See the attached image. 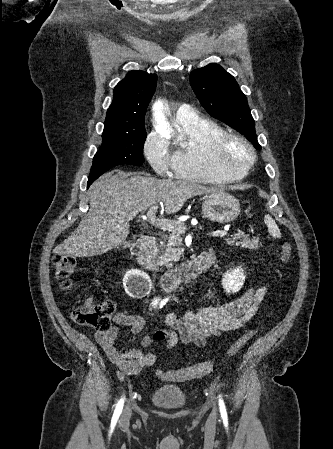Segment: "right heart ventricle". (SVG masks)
<instances>
[{"label":"right heart ventricle","mask_w":333,"mask_h":449,"mask_svg":"<svg viewBox=\"0 0 333 449\" xmlns=\"http://www.w3.org/2000/svg\"><path fill=\"white\" fill-rule=\"evenodd\" d=\"M178 143L174 156L173 175L181 180L197 183H218L244 178L217 173L211 164V142L224 133L217 123L197 118L192 122H177Z\"/></svg>","instance_id":"1"}]
</instances>
